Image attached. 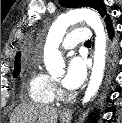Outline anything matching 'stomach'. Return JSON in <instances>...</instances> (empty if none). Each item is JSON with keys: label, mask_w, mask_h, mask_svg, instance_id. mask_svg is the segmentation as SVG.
Here are the masks:
<instances>
[{"label": "stomach", "mask_w": 122, "mask_h": 123, "mask_svg": "<svg viewBox=\"0 0 122 123\" xmlns=\"http://www.w3.org/2000/svg\"><path fill=\"white\" fill-rule=\"evenodd\" d=\"M60 120H61L62 123H68L69 122V118L65 117V116H61Z\"/></svg>", "instance_id": "1"}]
</instances>
